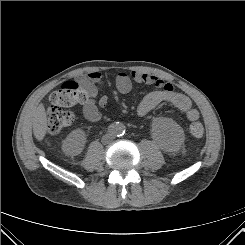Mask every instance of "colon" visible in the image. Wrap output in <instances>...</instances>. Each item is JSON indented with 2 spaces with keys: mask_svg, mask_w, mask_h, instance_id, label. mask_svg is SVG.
<instances>
[{
  "mask_svg": "<svg viewBox=\"0 0 245 245\" xmlns=\"http://www.w3.org/2000/svg\"><path fill=\"white\" fill-rule=\"evenodd\" d=\"M90 93L77 81L63 83L50 97L51 105L48 110V131L58 134L69 127L74 115L66 108L82 104L88 100ZM193 137L200 138L204 134V127L200 122H194L189 127Z\"/></svg>",
  "mask_w": 245,
  "mask_h": 245,
  "instance_id": "5ec220e1",
  "label": "colon"
}]
</instances>
